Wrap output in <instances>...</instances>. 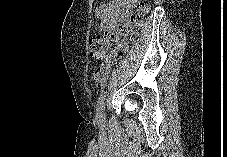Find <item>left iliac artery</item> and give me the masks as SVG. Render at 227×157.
I'll return each instance as SVG.
<instances>
[{"label": "left iliac artery", "instance_id": "left-iliac-artery-1", "mask_svg": "<svg viewBox=\"0 0 227 157\" xmlns=\"http://www.w3.org/2000/svg\"><path fill=\"white\" fill-rule=\"evenodd\" d=\"M105 96H106V91L102 90L101 93H100V96L98 97V101H97V117L98 118L101 117L100 112L103 108Z\"/></svg>", "mask_w": 227, "mask_h": 157}]
</instances>
